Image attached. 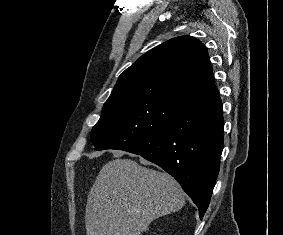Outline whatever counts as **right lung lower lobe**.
Instances as JSON below:
<instances>
[{
  "instance_id": "98d812e1",
  "label": "right lung lower lobe",
  "mask_w": 283,
  "mask_h": 235,
  "mask_svg": "<svg viewBox=\"0 0 283 235\" xmlns=\"http://www.w3.org/2000/svg\"><path fill=\"white\" fill-rule=\"evenodd\" d=\"M223 128L222 102L214 90L189 100L166 129L124 151L141 155L172 175L202 218L219 172Z\"/></svg>"
}]
</instances>
